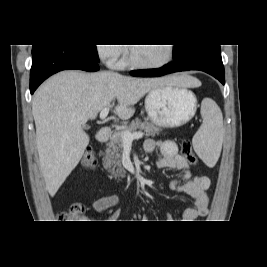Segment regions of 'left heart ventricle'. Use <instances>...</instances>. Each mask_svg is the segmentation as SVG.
<instances>
[{"label":"left heart ventricle","mask_w":267,"mask_h":267,"mask_svg":"<svg viewBox=\"0 0 267 267\" xmlns=\"http://www.w3.org/2000/svg\"><path fill=\"white\" fill-rule=\"evenodd\" d=\"M134 59L140 63H158L167 56V46H134L131 48Z\"/></svg>","instance_id":"b2bd125f"}]
</instances>
